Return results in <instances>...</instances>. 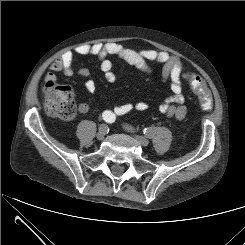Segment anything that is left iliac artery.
<instances>
[{"label": "left iliac artery", "mask_w": 245, "mask_h": 245, "mask_svg": "<svg viewBox=\"0 0 245 245\" xmlns=\"http://www.w3.org/2000/svg\"><path fill=\"white\" fill-rule=\"evenodd\" d=\"M143 132H144V134L147 135L148 137H152V136L155 134L156 130H155V128L149 127V128H145V129L143 130Z\"/></svg>", "instance_id": "obj_1"}]
</instances>
